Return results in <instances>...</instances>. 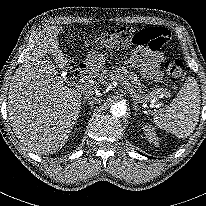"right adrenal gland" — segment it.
Listing matches in <instances>:
<instances>
[{
    "mask_svg": "<svg viewBox=\"0 0 206 206\" xmlns=\"http://www.w3.org/2000/svg\"><path fill=\"white\" fill-rule=\"evenodd\" d=\"M85 104H89V105H91V109L93 108V105H94V102H92V101H90V100H84L83 102H82V105H85Z\"/></svg>",
    "mask_w": 206,
    "mask_h": 206,
    "instance_id": "1",
    "label": "right adrenal gland"
}]
</instances>
